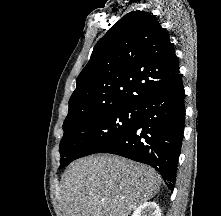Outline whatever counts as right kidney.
Masks as SVG:
<instances>
[{"instance_id":"ca27d5eb","label":"right kidney","mask_w":221,"mask_h":216,"mask_svg":"<svg viewBox=\"0 0 221 216\" xmlns=\"http://www.w3.org/2000/svg\"><path fill=\"white\" fill-rule=\"evenodd\" d=\"M131 216H161V210L155 202H146L137 207Z\"/></svg>"}]
</instances>
